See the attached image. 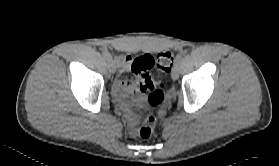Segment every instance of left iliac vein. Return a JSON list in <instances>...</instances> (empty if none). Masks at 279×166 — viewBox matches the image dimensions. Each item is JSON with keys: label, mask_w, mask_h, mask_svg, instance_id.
I'll return each mask as SVG.
<instances>
[{"label": "left iliac vein", "mask_w": 279, "mask_h": 166, "mask_svg": "<svg viewBox=\"0 0 279 166\" xmlns=\"http://www.w3.org/2000/svg\"><path fill=\"white\" fill-rule=\"evenodd\" d=\"M171 77H172L173 80L178 79V77H179V66H178V64L174 65V68H173L172 73H171Z\"/></svg>", "instance_id": "left-iliac-vein-1"}]
</instances>
